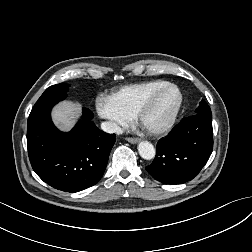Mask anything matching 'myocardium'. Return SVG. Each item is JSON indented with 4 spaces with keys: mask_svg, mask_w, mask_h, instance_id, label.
<instances>
[{
    "mask_svg": "<svg viewBox=\"0 0 252 252\" xmlns=\"http://www.w3.org/2000/svg\"><path fill=\"white\" fill-rule=\"evenodd\" d=\"M170 88H174L178 91L179 93V101L177 103V106L175 108V110L173 111L170 119L163 124L160 127H147L144 124V117L146 115V113L152 108V106L154 105L156 99L158 98V96L164 92L167 89ZM184 105V94L183 91L181 90V88L174 83H167L163 86H160L159 88L155 89L146 99L145 101L139 106L135 117L137 122L139 123V125L149 134L151 135H155V136H159V135H163L166 134L167 132H169L175 125L181 111Z\"/></svg>",
    "mask_w": 252,
    "mask_h": 252,
    "instance_id": "f54148a6",
    "label": "myocardium"
}]
</instances>
